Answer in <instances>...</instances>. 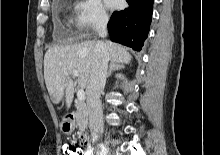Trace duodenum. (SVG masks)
<instances>
[{"label": "duodenum", "instance_id": "duodenum-1", "mask_svg": "<svg viewBox=\"0 0 220 155\" xmlns=\"http://www.w3.org/2000/svg\"><path fill=\"white\" fill-rule=\"evenodd\" d=\"M72 118H73V115L72 114H68L67 116H66V119L67 120H72ZM86 137V141H87V145L85 146V152H86V154L85 155H92V149H91V147L89 146V143H88V141H89V138L87 137V136H85Z\"/></svg>", "mask_w": 220, "mask_h": 155}]
</instances>
